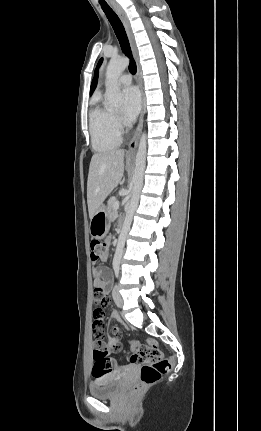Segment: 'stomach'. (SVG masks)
Returning a JSON list of instances; mask_svg holds the SVG:
<instances>
[{"mask_svg": "<svg viewBox=\"0 0 261 431\" xmlns=\"http://www.w3.org/2000/svg\"><path fill=\"white\" fill-rule=\"evenodd\" d=\"M110 218L105 205H101L90 220V234L93 238H104L110 228Z\"/></svg>", "mask_w": 261, "mask_h": 431, "instance_id": "obj_1", "label": "stomach"}]
</instances>
